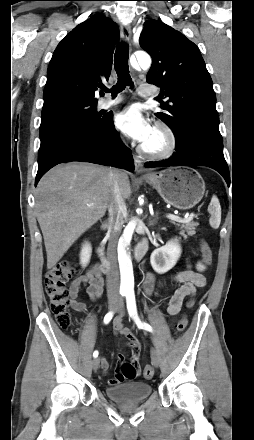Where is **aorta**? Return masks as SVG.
Instances as JSON below:
<instances>
[{"mask_svg": "<svg viewBox=\"0 0 254 440\" xmlns=\"http://www.w3.org/2000/svg\"><path fill=\"white\" fill-rule=\"evenodd\" d=\"M137 62L142 69H148L151 66V58L147 53L136 55ZM134 232V223H130L125 228L118 244V262L121 274V289L133 290L134 277L132 261L130 257L129 245Z\"/></svg>", "mask_w": 254, "mask_h": 440, "instance_id": "1", "label": "aorta"}]
</instances>
